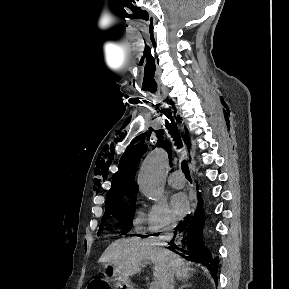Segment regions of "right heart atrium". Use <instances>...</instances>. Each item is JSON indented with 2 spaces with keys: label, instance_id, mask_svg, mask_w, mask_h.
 Listing matches in <instances>:
<instances>
[{
  "label": "right heart atrium",
  "instance_id": "right-heart-atrium-1",
  "mask_svg": "<svg viewBox=\"0 0 289 289\" xmlns=\"http://www.w3.org/2000/svg\"><path fill=\"white\" fill-rule=\"evenodd\" d=\"M145 215L146 229L150 233L169 230L176 225V218L164 200L152 203Z\"/></svg>",
  "mask_w": 289,
  "mask_h": 289
}]
</instances>
